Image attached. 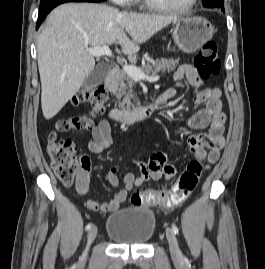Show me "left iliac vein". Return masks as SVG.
<instances>
[{"mask_svg": "<svg viewBox=\"0 0 265 269\" xmlns=\"http://www.w3.org/2000/svg\"><path fill=\"white\" fill-rule=\"evenodd\" d=\"M166 238L169 243L170 253L174 260L179 261L181 260L182 253L178 245V241L174 231L170 228L166 229Z\"/></svg>", "mask_w": 265, "mask_h": 269, "instance_id": "left-iliac-vein-1", "label": "left iliac vein"}]
</instances>
